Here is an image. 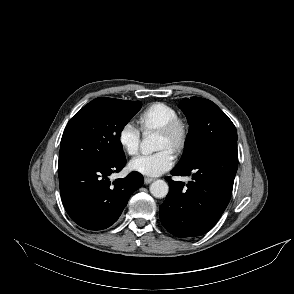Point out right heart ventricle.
Segmentation results:
<instances>
[{
    "label": "right heart ventricle",
    "instance_id": "right-heart-ventricle-1",
    "mask_svg": "<svg viewBox=\"0 0 294 294\" xmlns=\"http://www.w3.org/2000/svg\"><path fill=\"white\" fill-rule=\"evenodd\" d=\"M179 118L177 110L163 102L147 106L138 116V123L143 132L157 131L167 123Z\"/></svg>",
    "mask_w": 294,
    "mask_h": 294
}]
</instances>
